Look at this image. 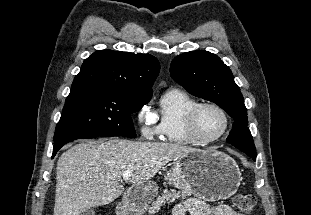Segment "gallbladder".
<instances>
[{
    "mask_svg": "<svg viewBox=\"0 0 311 215\" xmlns=\"http://www.w3.org/2000/svg\"><path fill=\"white\" fill-rule=\"evenodd\" d=\"M81 215H95V211L93 209H87Z\"/></svg>",
    "mask_w": 311,
    "mask_h": 215,
    "instance_id": "gallbladder-1",
    "label": "gallbladder"
}]
</instances>
